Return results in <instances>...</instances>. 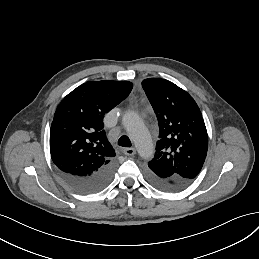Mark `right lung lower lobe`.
Masks as SVG:
<instances>
[{"label":"right lung lower lobe","instance_id":"1","mask_svg":"<svg viewBox=\"0 0 259 259\" xmlns=\"http://www.w3.org/2000/svg\"><path fill=\"white\" fill-rule=\"evenodd\" d=\"M114 171V159L96 172L85 176L64 172L61 169L58 170L61 178L71 188L80 193H96L101 191L111 182Z\"/></svg>","mask_w":259,"mask_h":259}]
</instances>
